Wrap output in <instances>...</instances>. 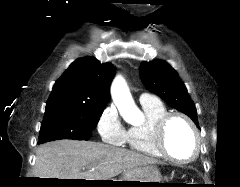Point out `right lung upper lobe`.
Segmentation results:
<instances>
[{
    "label": "right lung upper lobe",
    "mask_w": 240,
    "mask_h": 187,
    "mask_svg": "<svg viewBox=\"0 0 240 187\" xmlns=\"http://www.w3.org/2000/svg\"><path fill=\"white\" fill-rule=\"evenodd\" d=\"M114 74L110 63L101 64L94 57L77 59L54 84L46 108L64 104L104 108Z\"/></svg>",
    "instance_id": "cb5924a9"
}]
</instances>
